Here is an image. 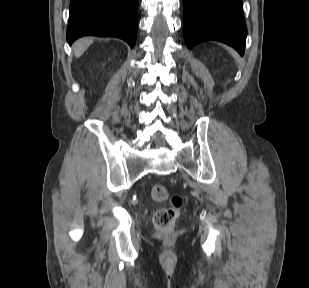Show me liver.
Segmentation results:
<instances>
[{"label":"liver","mask_w":309,"mask_h":288,"mask_svg":"<svg viewBox=\"0 0 309 288\" xmlns=\"http://www.w3.org/2000/svg\"><path fill=\"white\" fill-rule=\"evenodd\" d=\"M92 43L93 39L90 38H82L77 40L73 46L75 57H80Z\"/></svg>","instance_id":"6515ba94"}]
</instances>
